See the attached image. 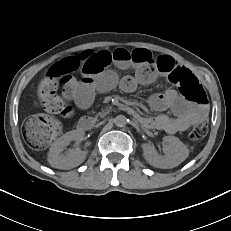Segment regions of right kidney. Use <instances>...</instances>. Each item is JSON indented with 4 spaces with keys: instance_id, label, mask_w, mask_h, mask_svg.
Returning a JSON list of instances; mask_svg holds the SVG:
<instances>
[{
    "instance_id": "1",
    "label": "right kidney",
    "mask_w": 231,
    "mask_h": 231,
    "mask_svg": "<svg viewBox=\"0 0 231 231\" xmlns=\"http://www.w3.org/2000/svg\"><path fill=\"white\" fill-rule=\"evenodd\" d=\"M83 137V131L72 130L57 139L49 149V164L58 169H70L84 162L86 152L80 149H69L66 153H62L71 141L82 140Z\"/></svg>"
}]
</instances>
